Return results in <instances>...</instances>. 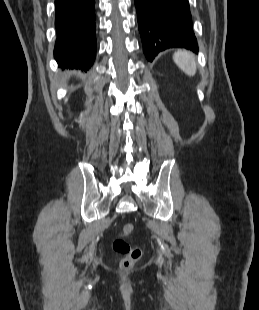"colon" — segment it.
<instances>
[{
  "label": "colon",
  "mask_w": 259,
  "mask_h": 310,
  "mask_svg": "<svg viewBox=\"0 0 259 310\" xmlns=\"http://www.w3.org/2000/svg\"><path fill=\"white\" fill-rule=\"evenodd\" d=\"M134 227L130 223L123 224L120 228L119 236L113 240L112 248L122 255L120 265L124 269H129L141 258L142 250L139 247L131 246L126 238L133 233Z\"/></svg>",
  "instance_id": "obj_1"
}]
</instances>
